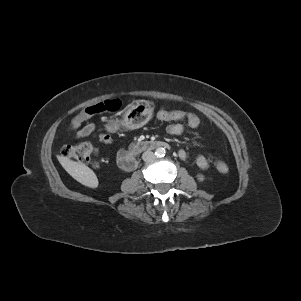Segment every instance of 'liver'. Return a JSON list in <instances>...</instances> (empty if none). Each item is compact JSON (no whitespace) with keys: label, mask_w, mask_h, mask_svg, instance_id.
<instances>
[{"label":"liver","mask_w":301,"mask_h":301,"mask_svg":"<svg viewBox=\"0 0 301 301\" xmlns=\"http://www.w3.org/2000/svg\"><path fill=\"white\" fill-rule=\"evenodd\" d=\"M62 167L78 182L90 187L97 188L98 179L96 174L85 164L70 160L67 157L57 156Z\"/></svg>","instance_id":"6515ba94"}]
</instances>
